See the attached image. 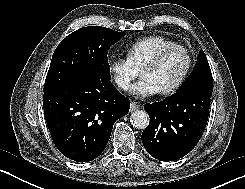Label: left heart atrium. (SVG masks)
<instances>
[{"instance_id":"obj_1","label":"left heart atrium","mask_w":245,"mask_h":189,"mask_svg":"<svg viewBox=\"0 0 245 189\" xmlns=\"http://www.w3.org/2000/svg\"><path fill=\"white\" fill-rule=\"evenodd\" d=\"M131 92L139 98H146L157 94L159 90L148 79L141 78L133 85Z\"/></svg>"}]
</instances>
